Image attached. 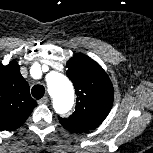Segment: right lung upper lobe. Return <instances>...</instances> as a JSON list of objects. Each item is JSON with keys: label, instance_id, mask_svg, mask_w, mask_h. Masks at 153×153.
Wrapping results in <instances>:
<instances>
[{"label": "right lung upper lobe", "instance_id": "1", "mask_svg": "<svg viewBox=\"0 0 153 153\" xmlns=\"http://www.w3.org/2000/svg\"><path fill=\"white\" fill-rule=\"evenodd\" d=\"M37 106L15 60L0 65V129L19 128Z\"/></svg>", "mask_w": 153, "mask_h": 153}]
</instances>
